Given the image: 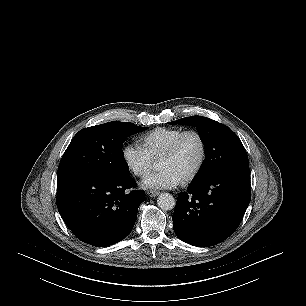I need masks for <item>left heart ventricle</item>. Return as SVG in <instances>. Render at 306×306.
Here are the masks:
<instances>
[{
	"label": "left heart ventricle",
	"mask_w": 306,
	"mask_h": 306,
	"mask_svg": "<svg viewBox=\"0 0 306 306\" xmlns=\"http://www.w3.org/2000/svg\"><path fill=\"white\" fill-rule=\"evenodd\" d=\"M201 156V145L194 135L187 136L181 143L176 154L168 159L161 160V169H170L182 180L197 166Z\"/></svg>",
	"instance_id": "1"
}]
</instances>
